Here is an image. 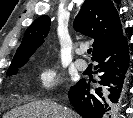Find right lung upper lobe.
<instances>
[{
    "label": "right lung upper lobe",
    "instance_id": "1",
    "mask_svg": "<svg viewBox=\"0 0 133 118\" xmlns=\"http://www.w3.org/2000/svg\"><path fill=\"white\" fill-rule=\"evenodd\" d=\"M49 26L50 18L42 15L27 28L10 67L28 61L42 44V36L47 35ZM74 28L76 31L94 38L92 59L102 50L115 45L124 38L117 10L111 0H85L75 18Z\"/></svg>",
    "mask_w": 133,
    "mask_h": 118
}]
</instances>
